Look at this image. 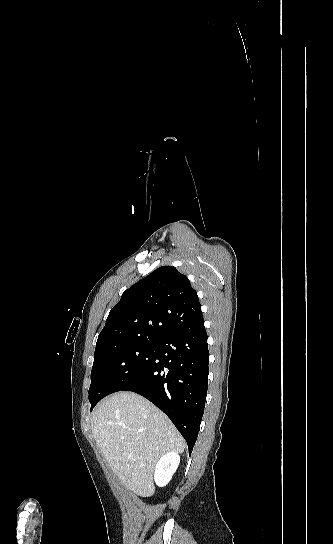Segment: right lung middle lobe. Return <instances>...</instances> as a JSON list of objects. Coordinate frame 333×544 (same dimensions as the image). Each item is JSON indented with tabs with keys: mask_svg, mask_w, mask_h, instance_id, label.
<instances>
[{
	"mask_svg": "<svg viewBox=\"0 0 333 544\" xmlns=\"http://www.w3.org/2000/svg\"><path fill=\"white\" fill-rule=\"evenodd\" d=\"M156 340H141L95 354L91 371V410L105 396L134 380L154 356Z\"/></svg>",
	"mask_w": 333,
	"mask_h": 544,
	"instance_id": "obj_1",
	"label": "right lung middle lobe"
}]
</instances>
